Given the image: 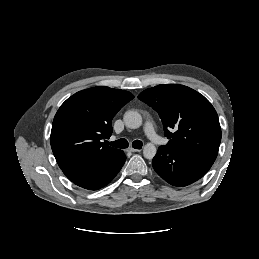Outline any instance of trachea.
<instances>
[{"label": "trachea", "mask_w": 259, "mask_h": 259, "mask_svg": "<svg viewBox=\"0 0 259 259\" xmlns=\"http://www.w3.org/2000/svg\"><path fill=\"white\" fill-rule=\"evenodd\" d=\"M108 144L113 146V147L121 148V149L127 148L128 145H129V143L126 139H119V140L114 141V142H109ZM142 145H143V143L140 140H135L132 143V147L135 148V149H141Z\"/></svg>", "instance_id": "trachea-1"}]
</instances>
